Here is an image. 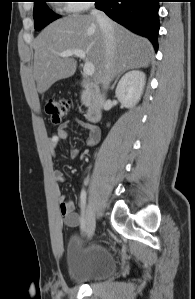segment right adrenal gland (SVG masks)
<instances>
[{
	"mask_svg": "<svg viewBox=\"0 0 195 299\" xmlns=\"http://www.w3.org/2000/svg\"><path fill=\"white\" fill-rule=\"evenodd\" d=\"M126 71H127V70H125L124 72H126ZM124 72H122L120 75H118V77H117L116 80L114 81L113 85L111 86V89H112V90L114 89V87H115V85H116V83H117L119 77H120Z\"/></svg>",
	"mask_w": 195,
	"mask_h": 299,
	"instance_id": "2a0ac1e0",
	"label": "right adrenal gland"
}]
</instances>
